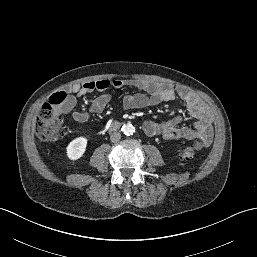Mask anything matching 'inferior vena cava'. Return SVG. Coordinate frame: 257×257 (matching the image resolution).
<instances>
[{"instance_id": "602c4592", "label": "inferior vena cava", "mask_w": 257, "mask_h": 257, "mask_svg": "<svg viewBox=\"0 0 257 257\" xmlns=\"http://www.w3.org/2000/svg\"><path fill=\"white\" fill-rule=\"evenodd\" d=\"M121 139V134L119 132H113L110 136L111 142L115 143Z\"/></svg>"}]
</instances>
